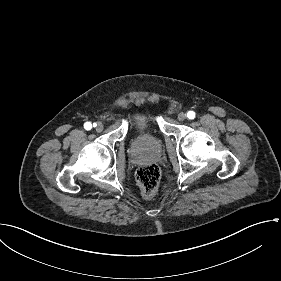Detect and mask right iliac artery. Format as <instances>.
Masks as SVG:
<instances>
[{"label":"right iliac artery","instance_id":"right-iliac-artery-1","mask_svg":"<svg viewBox=\"0 0 281 281\" xmlns=\"http://www.w3.org/2000/svg\"><path fill=\"white\" fill-rule=\"evenodd\" d=\"M84 128H85L86 130H90V129L92 128V124H91L90 122H86V123L84 124Z\"/></svg>","mask_w":281,"mask_h":281}]
</instances>
